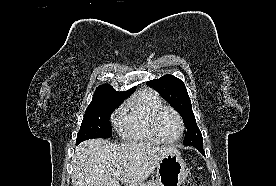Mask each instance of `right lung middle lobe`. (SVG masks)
I'll return each instance as SVG.
<instances>
[{
    "label": "right lung middle lobe",
    "mask_w": 276,
    "mask_h": 186,
    "mask_svg": "<svg viewBox=\"0 0 276 186\" xmlns=\"http://www.w3.org/2000/svg\"><path fill=\"white\" fill-rule=\"evenodd\" d=\"M129 95L115 93L94 94L92 102L87 107L84 118L77 134L76 144L92 138L111 137V113Z\"/></svg>",
    "instance_id": "dd1d6c3e"
}]
</instances>
